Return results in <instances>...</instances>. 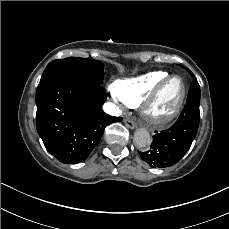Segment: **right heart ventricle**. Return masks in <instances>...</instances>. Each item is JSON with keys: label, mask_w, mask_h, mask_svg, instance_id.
I'll return each mask as SVG.
<instances>
[{"label": "right heart ventricle", "mask_w": 229, "mask_h": 229, "mask_svg": "<svg viewBox=\"0 0 229 229\" xmlns=\"http://www.w3.org/2000/svg\"><path fill=\"white\" fill-rule=\"evenodd\" d=\"M170 74L164 70L148 71L136 76L123 78L116 81L113 87V93L116 98L122 102L134 105L143 102V97L147 96L153 86L170 77Z\"/></svg>", "instance_id": "e07e8e85"}]
</instances>
